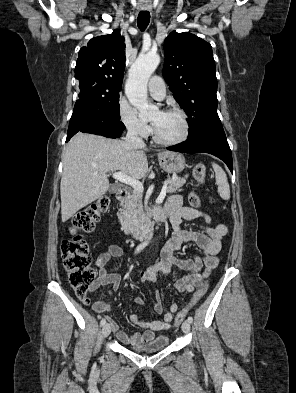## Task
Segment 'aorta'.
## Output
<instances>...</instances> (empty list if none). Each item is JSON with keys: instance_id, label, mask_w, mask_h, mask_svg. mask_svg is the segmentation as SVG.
I'll return each instance as SVG.
<instances>
[{"instance_id": "obj_1", "label": "aorta", "mask_w": 296, "mask_h": 393, "mask_svg": "<svg viewBox=\"0 0 296 393\" xmlns=\"http://www.w3.org/2000/svg\"><path fill=\"white\" fill-rule=\"evenodd\" d=\"M160 63L158 54H141L129 70L125 93L129 102L139 111V115L147 116L158 108L147 100V83Z\"/></svg>"}]
</instances>
